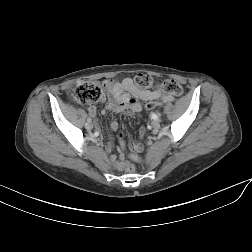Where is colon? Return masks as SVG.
Here are the masks:
<instances>
[{"mask_svg": "<svg viewBox=\"0 0 252 252\" xmlns=\"http://www.w3.org/2000/svg\"><path fill=\"white\" fill-rule=\"evenodd\" d=\"M152 78L144 73H139L134 77V84L141 89H147L152 86ZM157 89L168 95H180L182 93V86L173 79H167L157 84ZM72 99L77 102L85 103L89 101H98L103 98V91L101 86L95 82H82L69 91ZM158 104L155 102L148 103L146 108L151 110ZM139 146L137 141L133 142V147ZM126 171L131 173L134 171V164L132 161H128L125 165Z\"/></svg>", "mask_w": 252, "mask_h": 252, "instance_id": "colon-1", "label": "colon"}]
</instances>
